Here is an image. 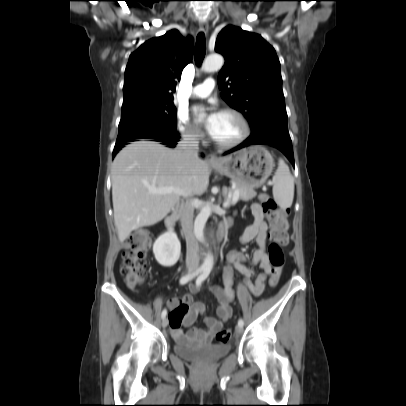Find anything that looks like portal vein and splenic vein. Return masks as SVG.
<instances>
[{
	"mask_svg": "<svg viewBox=\"0 0 406 406\" xmlns=\"http://www.w3.org/2000/svg\"><path fill=\"white\" fill-rule=\"evenodd\" d=\"M150 193H152V194H172V193H175V194H179L180 196H184V197L187 196V194L185 192H183L182 190H180L178 188L172 187V186L158 188V189H151ZM240 193L241 192L239 190H235L234 193L231 195V197H232L231 203L232 204H236V202L238 201V198L240 196ZM223 206L228 207L229 203L226 202V203H224Z\"/></svg>",
	"mask_w": 406,
	"mask_h": 406,
	"instance_id": "obj_1",
	"label": "portal vein and splenic vein"
}]
</instances>
